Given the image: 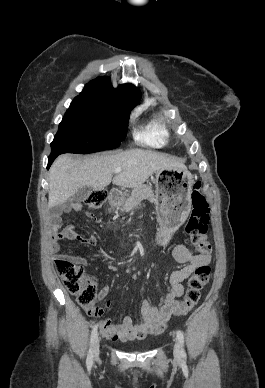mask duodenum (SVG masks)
<instances>
[{
    "label": "duodenum",
    "instance_id": "1",
    "mask_svg": "<svg viewBox=\"0 0 265 388\" xmlns=\"http://www.w3.org/2000/svg\"><path fill=\"white\" fill-rule=\"evenodd\" d=\"M123 198V193L117 189H113L109 193V202L111 205H119L123 201Z\"/></svg>",
    "mask_w": 265,
    "mask_h": 388
}]
</instances>
